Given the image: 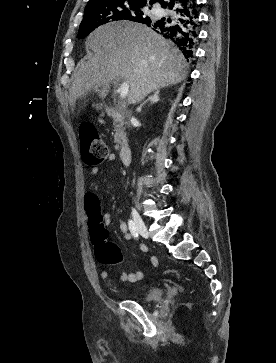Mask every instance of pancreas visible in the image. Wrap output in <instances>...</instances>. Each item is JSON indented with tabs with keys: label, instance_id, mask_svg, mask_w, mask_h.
Listing matches in <instances>:
<instances>
[{
	"label": "pancreas",
	"instance_id": "cf45deb5",
	"mask_svg": "<svg viewBox=\"0 0 276 363\" xmlns=\"http://www.w3.org/2000/svg\"><path fill=\"white\" fill-rule=\"evenodd\" d=\"M114 142L116 143L115 147L119 148L122 144V141L125 140V132L123 128V122L114 123Z\"/></svg>",
	"mask_w": 276,
	"mask_h": 363
}]
</instances>
